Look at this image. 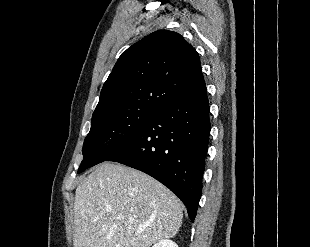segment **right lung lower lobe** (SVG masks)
Masks as SVG:
<instances>
[{"mask_svg":"<svg viewBox=\"0 0 310 247\" xmlns=\"http://www.w3.org/2000/svg\"><path fill=\"white\" fill-rule=\"evenodd\" d=\"M209 135L204 85L160 108L128 144L105 161L119 162L160 181L186 205L193 222L202 193Z\"/></svg>","mask_w":310,"mask_h":247,"instance_id":"obj_1","label":"right lung lower lobe"}]
</instances>
